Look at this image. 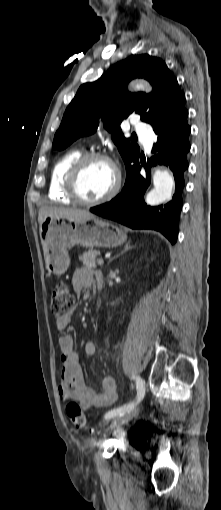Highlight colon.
Segmentation results:
<instances>
[{
  "mask_svg": "<svg viewBox=\"0 0 221 510\" xmlns=\"http://www.w3.org/2000/svg\"><path fill=\"white\" fill-rule=\"evenodd\" d=\"M75 304V297L73 291L64 282H59L55 285L52 292L51 299V312L56 318L61 317L67 311L71 310ZM67 415L71 423L78 429L87 430V418L81 410L77 402L71 401L66 407Z\"/></svg>",
  "mask_w": 221,
  "mask_h": 510,
  "instance_id": "5ec220e1",
  "label": "colon"
}]
</instances>
